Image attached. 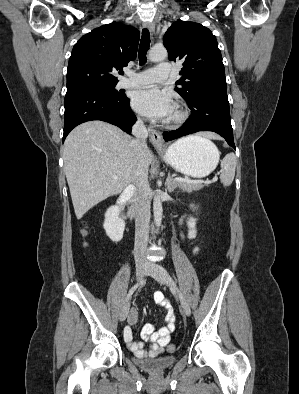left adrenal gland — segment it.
<instances>
[{"instance_id":"obj_1","label":"left adrenal gland","mask_w":299,"mask_h":394,"mask_svg":"<svg viewBox=\"0 0 299 394\" xmlns=\"http://www.w3.org/2000/svg\"><path fill=\"white\" fill-rule=\"evenodd\" d=\"M165 187L168 190V192H173L175 189V182L173 181V178L171 177L170 173L168 174V177L166 179Z\"/></svg>"}]
</instances>
